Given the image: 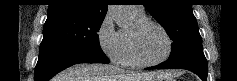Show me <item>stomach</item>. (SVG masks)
Here are the masks:
<instances>
[{"instance_id":"1","label":"stomach","mask_w":237,"mask_h":81,"mask_svg":"<svg viewBox=\"0 0 237 81\" xmlns=\"http://www.w3.org/2000/svg\"><path fill=\"white\" fill-rule=\"evenodd\" d=\"M151 81H173V78L171 76L161 75V76L154 78Z\"/></svg>"}]
</instances>
